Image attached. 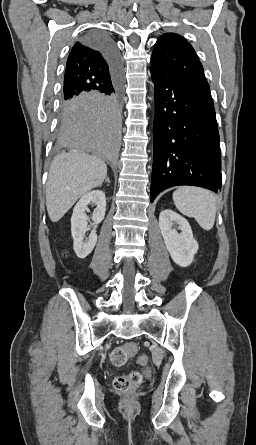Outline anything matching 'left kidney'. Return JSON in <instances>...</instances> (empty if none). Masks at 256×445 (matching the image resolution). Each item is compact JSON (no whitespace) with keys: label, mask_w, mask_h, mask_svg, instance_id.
<instances>
[{"label":"left kidney","mask_w":256,"mask_h":445,"mask_svg":"<svg viewBox=\"0 0 256 445\" xmlns=\"http://www.w3.org/2000/svg\"><path fill=\"white\" fill-rule=\"evenodd\" d=\"M175 224L178 225L180 233L172 228ZM159 227L172 260L181 267L189 266L198 251V243L193 238L188 221L176 212L166 209L159 215Z\"/></svg>","instance_id":"5707ae66"}]
</instances>
